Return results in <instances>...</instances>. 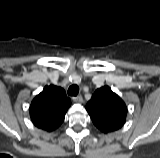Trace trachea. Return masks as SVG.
<instances>
[{"label": "trachea", "mask_w": 160, "mask_h": 158, "mask_svg": "<svg viewBox=\"0 0 160 158\" xmlns=\"http://www.w3.org/2000/svg\"><path fill=\"white\" fill-rule=\"evenodd\" d=\"M79 93V87L77 85H71L68 89V95L77 96Z\"/></svg>", "instance_id": "1"}]
</instances>
